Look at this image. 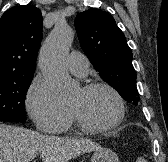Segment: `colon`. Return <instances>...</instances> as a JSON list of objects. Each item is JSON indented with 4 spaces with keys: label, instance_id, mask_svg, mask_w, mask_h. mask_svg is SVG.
<instances>
[{
    "label": "colon",
    "instance_id": "obj_1",
    "mask_svg": "<svg viewBox=\"0 0 168 162\" xmlns=\"http://www.w3.org/2000/svg\"><path fill=\"white\" fill-rule=\"evenodd\" d=\"M135 162H147V161L143 156H139V157L136 158Z\"/></svg>",
    "mask_w": 168,
    "mask_h": 162
}]
</instances>
